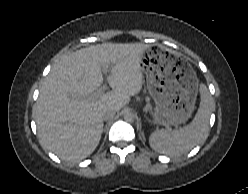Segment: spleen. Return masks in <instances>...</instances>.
<instances>
[{
	"label": "spleen",
	"mask_w": 248,
	"mask_h": 194,
	"mask_svg": "<svg viewBox=\"0 0 248 194\" xmlns=\"http://www.w3.org/2000/svg\"><path fill=\"white\" fill-rule=\"evenodd\" d=\"M199 90L201 96L200 106L190 124L173 131H155L150 135V147L156 152L169 156H180L190 151L206 138L214 101L204 84L200 85Z\"/></svg>",
	"instance_id": "spleen-1"
}]
</instances>
